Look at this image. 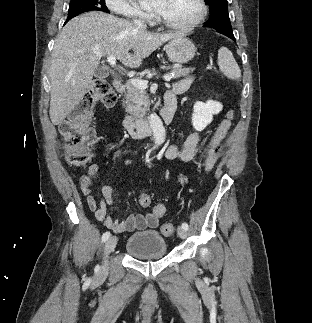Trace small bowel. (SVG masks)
I'll use <instances>...</instances> for the list:
<instances>
[{"instance_id":"1","label":"small bowel","mask_w":312,"mask_h":323,"mask_svg":"<svg viewBox=\"0 0 312 323\" xmlns=\"http://www.w3.org/2000/svg\"><path fill=\"white\" fill-rule=\"evenodd\" d=\"M192 81L191 77L184 78L175 83L170 91L176 92L177 95L182 94L189 89ZM198 143L199 135L192 133L187 137L182 148L176 145H167L164 148L163 156L166 160H179L184 163H190L194 159ZM84 169L86 173L79 180L81 193L87 197L88 206L94 212L95 218L103 222L108 229L115 232H134L136 230L158 227L159 220L163 216H155V210L146 214H131L123 221H117L110 217L107 213V206L113 203V186L105 185L102 188V199L98 201L93 195L91 188L92 182L98 173V165L86 163Z\"/></svg>"}]
</instances>
